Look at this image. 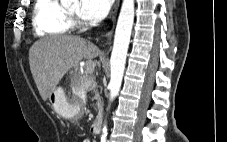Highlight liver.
Listing matches in <instances>:
<instances>
[{
  "instance_id": "6515ba94",
  "label": "liver",
  "mask_w": 227,
  "mask_h": 142,
  "mask_svg": "<svg viewBox=\"0 0 227 142\" xmlns=\"http://www.w3.org/2000/svg\"><path fill=\"white\" fill-rule=\"evenodd\" d=\"M101 54L97 46L74 35H52L39 39L29 50L30 70L44 101L62 77L83 58L88 63Z\"/></svg>"
}]
</instances>
